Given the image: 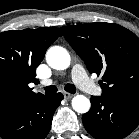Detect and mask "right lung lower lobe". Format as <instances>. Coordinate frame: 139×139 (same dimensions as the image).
Listing matches in <instances>:
<instances>
[{"instance_id": "1", "label": "right lung lower lobe", "mask_w": 139, "mask_h": 139, "mask_svg": "<svg viewBox=\"0 0 139 139\" xmlns=\"http://www.w3.org/2000/svg\"><path fill=\"white\" fill-rule=\"evenodd\" d=\"M63 99L61 93L0 114L2 139H44L51 127L55 110Z\"/></svg>"}]
</instances>
